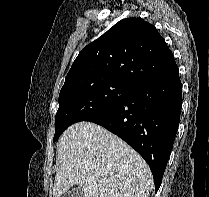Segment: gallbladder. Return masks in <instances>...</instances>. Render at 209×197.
<instances>
[{
	"label": "gallbladder",
	"mask_w": 209,
	"mask_h": 197,
	"mask_svg": "<svg viewBox=\"0 0 209 197\" xmlns=\"http://www.w3.org/2000/svg\"><path fill=\"white\" fill-rule=\"evenodd\" d=\"M63 197H83V190L79 186L73 187L67 191Z\"/></svg>",
	"instance_id": "1"
}]
</instances>
